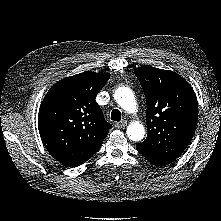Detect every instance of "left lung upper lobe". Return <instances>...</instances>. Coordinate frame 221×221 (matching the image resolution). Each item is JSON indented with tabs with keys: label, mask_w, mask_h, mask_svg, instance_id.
I'll list each match as a JSON object with an SVG mask.
<instances>
[{
	"label": "left lung upper lobe",
	"mask_w": 221,
	"mask_h": 221,
	"mask_svg": "<svg viewBox=\"0 0 221 221\" xmlns=\"http://www.w3.org/2000/svg\"><path fill=\"white\" fill-rule=\"evenodd\" d=\"M145 94L148 134L136 149L156 166L172 163L193 138L198 103L190 84L169 70L134 69Z\"/></svg>",
	"instance_id": "1"
}]
</instances>
